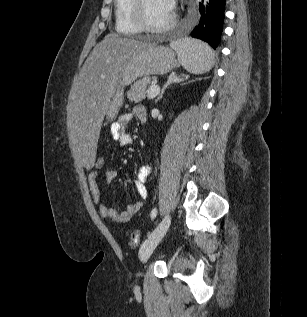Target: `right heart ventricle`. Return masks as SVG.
Listing matches in <instances>:
<instances>
[{
	"instance_id": "1",
	"label": "right heart ventricle",
	"mask_w": 307,
	"mask_h": 317,
	"mask_svg": "<svg viewBox=\"0 0 307 317\" xmlns=\"http://www.w3.org/2000/svg\"><path fill=\"white\" fill-rule=\"evenodd\" d=\"M115 29L119 34L131 35L140 32L132 17V0H114Z\"/></svg>"
}]
</instances>
